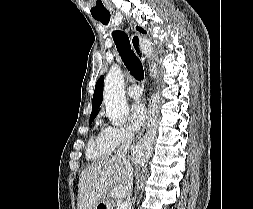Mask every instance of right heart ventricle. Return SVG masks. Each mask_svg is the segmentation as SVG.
Instances as JSON below:
<instances>
[{"instance_id":"1","label":"right heart ventricle","mask_w":253,"mask_h":209,"mask_svg":"<svg viewBox=\"0 0 253 209\" xmlns=\"http://www.w3.org/2000/svg\"><path fill=\"white\" fill-rule=\"evenodd\" d=\"M112 149L107 145L100 132L96 137H92L87 145V157L89 159H100L108 156Z\"/></svg>"}]
</instances>
